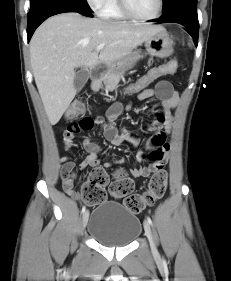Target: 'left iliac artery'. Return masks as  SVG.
I'll use <instances>...</instances> for the list:
<instances>
[{
	"mask_svg": "<svg viewBox=\"0 0 231 281\" xmlns=\"http://www.w3.org/2000/svg\"><path fill=\"white\" fill-rule=\"evenodd\" d=\"M147 222H148L150 225H152V220H151L150 217H147Z\"/></svg>",
	"mask_w": 231,
	"mask_h": 281,
	"instance_id": "left-iliac-artery-1",
	"label": "left iliac artery"
}]
</instances>
